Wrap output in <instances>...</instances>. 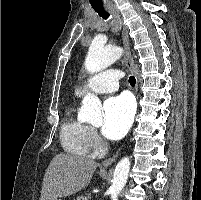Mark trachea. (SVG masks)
Returning a JSON list of instances; mask_svg holds the SVG:
<instances>
[{
    "instance_id": "obj_1",
    "label": "trachea",
    "mask_w": 201,
    "mask_h": 200,
    "mask_svg": "<svg viewBox=\"0 0 201 200\" xmlns=\"http://www.w3.org/2000/svg\"><path fill=\"white\" fill-rule=\"evenodd\" d=\"M93 9L95 10V12L98 13V15L100 17H102L103 19L107 20L109 18V13L105 10L103 5H99V6H92ZM129 83L131 86H135L136 84V79L134 76H130L129 77Z\"/></svg>"
}]
</instances>
